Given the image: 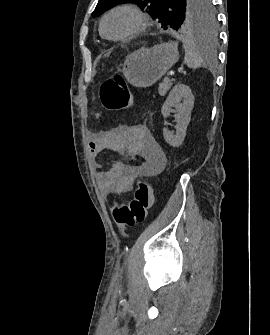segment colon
<instances>
[{
    "label": "colon",
    "instance_id": "colon-1",
    "mask_svg": "<svg viewBox=\"0 0 270 335\" xmlns=\"http://www.w3.org/2000/svg\"><path fill=\"white\" fill-rule=\"evenodd\" d=\"M100 96L106 108L125 110L132 104V95L121 75L108 79L100 87ZM151 204V188L145 180H141L128 203H115L113 205V218L121 228L133 227L146 220Z\"/></svg>",
    "mask_w": 270,
    "mask_h": 335
}]
</instances>
